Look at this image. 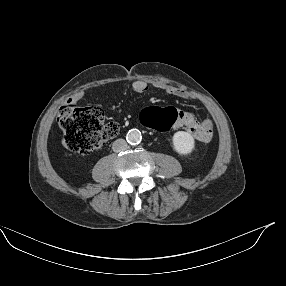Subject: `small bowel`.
I'll use <instances>...</instances> for the list:
<instances>
[{"mask_svg": "<svg viewBox=\"0 0 286 286\" xmlns=\"http://www.w3.org/2000/svg\"><path fill=\"white\" fill-rule=\"evenodd\" d=\"M149 87L145 81H135L131 87L130 91L132 93H144L148 91ZM160 89L164 92L175 95L184 99H194L195 95L185 89H182L173 85H161ZM174 109V108H172ZM177 113L176 121L171 125L169 129L173 128H183L192 134L194 139L198 142H209L213 136L214 123L212 118L205 117L201 121H198L191 113L174 109ZM146 112V111H145ZM144 112V114H145ZM167 129V130H169Z\"/></svg>", "mask_w": 286, "mask_h": 286, "instance_id": "1", "label": "small bowel"}]
</instances>
